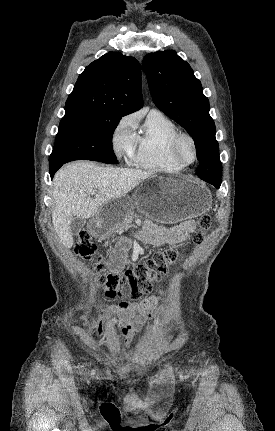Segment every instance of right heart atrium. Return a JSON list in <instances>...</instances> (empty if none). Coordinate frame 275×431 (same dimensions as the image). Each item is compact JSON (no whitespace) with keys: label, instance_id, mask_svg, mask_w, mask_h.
<instances>
[{"label":"right heart atrium","instance_id":"d8ad5b80","mask_svg":"<svg viewBox=\"0 0 275 431\" xmlns=\"http://www.w3.org/2000/svg\"><path fill=\"white\" fill-rule=\"evenodd\" d=\"M134 118L124 116L120 119L112 133V146L118 157H125L132 161L136 148V134L134 132Z\"/></svg>","mask_w":275,"mask_h":431}]
</instances>
